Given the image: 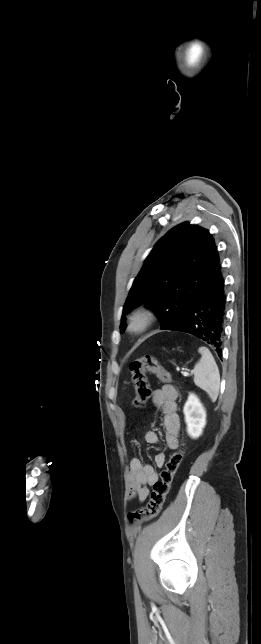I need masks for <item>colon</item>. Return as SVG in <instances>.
I'll use <instances>...</instances> for the list:
<instances>
[{
	"mask_svg": "<svg viewBox=\"0 0 261 644\" xmlns=\"http://www.w3.org/2000/svg\"><path fill=\"white\" fill-rule=\"evenodd\" d=\"M130 372L135 390L133 403L136 407H143L150 398L152 391L147 379V373L155 374L162 382H172L171 373L161 364L157 357L143 356L130 363ZM184 448L171 453L160 478L153 484L150 500L145 509L130 513L129 518L134 522H146L156 518L170 492L174 477L182 462Z\"/></svg>",
	"mask_w": 261,
	"mask_h": 644,
	"instance_id": "obj_1",
	"label": "colon"
}]
</instances>
